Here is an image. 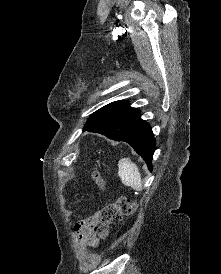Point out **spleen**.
Segmentation results:
<instances>
[{
    "instance_id": "spleen-1",
    "label": "spleen",
    "mask_w": 221,
    "mask_h": 274,
    "mask_svg": "<svg viewBox=\"0 0 221 274\" xmlns=\"http://www.w3.org/2000/svg\"><path fill=\"white\" fill-rule=\"evenodd\" d=\"M118 175L122 183L133 188L136 191H141L142 180L141 175L136 164L131 162L128 158H122L118 162Z\"/></svg>"
}]
</instances>
